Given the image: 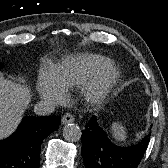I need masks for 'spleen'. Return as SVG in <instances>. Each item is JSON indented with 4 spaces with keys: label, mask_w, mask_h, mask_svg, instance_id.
Wrapping results in <instances>:
<instances>
[{
    "label": "spleen",
    "mask_w": 168,
    "mask_h": 168,
    "mask_svg": "<svg viewBox=\"0 0 168 168\" xmlns=\"http://www.w3.org/2000/svg\"><path fill=\"white\" fill-rule=\"evenodd\" d=\"M111 136L118 142H124L127 138L125 127L118 122H113L110 127Z\"/></svg>",
    "instance_id": "3e777b00"
}]
</instances>
